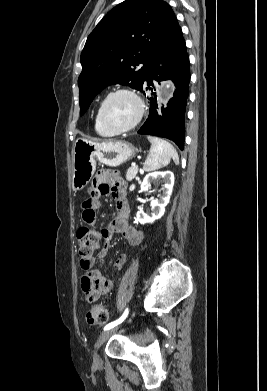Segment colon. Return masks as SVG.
Instances as JSON below:
<instances>
[{
  "instance_id": "obj_1",
  "label": "colon",
  "mask_w": 267,
  "mask_h": 391,
  "mask_svg": "<svg viewBox=\"0 0 267 391\" xmlns=\"http://www.w3.org/2000/svg\"><path fill=\"white\" fill-rule=\"evenodd\" d=\"M101 233L87 226L77 230L76 238L79 246L81 262L88 264L94 252L101 244ZM108 320V311L103 305H94L86 314L88 324H104Z\"/></svg>"
}]
</instances>
